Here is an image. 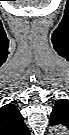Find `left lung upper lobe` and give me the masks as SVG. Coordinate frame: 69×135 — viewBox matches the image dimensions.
<instances>
[{
    "mask_svg": "<svg viewBox=\"0 0 69 135\" xmlns=\"http://www.w3.org/2000/svg\"><path fill=\"white\" fill-rule=\"evenodd\" d=\"M67 106L68 101L67 100H58L53 107L51 117H50V123L52 125L59 123L61 119L66 117L67 114Z\"/></svg>",
    "mask_w": 69,
    "mask_h": 135,
    "instance_id": "obj_1",
    "label": "left lung upper lobe"
}]
</instances>
